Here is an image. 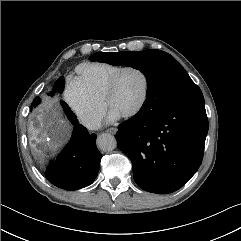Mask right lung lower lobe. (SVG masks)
Returning a JSON list of instances; mask_svg holds the SVG:
<instances>
[{"label":"right lung lower lobe","instance_id":"obj_1","mask_svg":"<svg viewBox=\"0 0 241 241\" xmlns=\"http://www.w3.org/2000/svg\"><path fill=\"white\" fill-rule=\"evenodd\" d=\"M71 140L45 172L46 179L64 190H78L92 184L97 177L101 153L96 147V135L89 134L77 117Z\"/></svg>","mask_w":241,"mask_h":241}]
</instances>
